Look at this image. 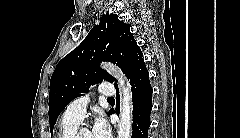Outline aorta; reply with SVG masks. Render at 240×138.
Returning a JSON list of instances; mask_svg holds the SVG:
<instances>
[{
  "label": "aorta",
  "mask_w": 240,
  "mask_h": 138,
  "mask_svg": "<svg viewBox=\"0 0 240 138\" xmlns=\"http://www.w3.org/2000/svg\"><path fill=\"white\" fill-rule=\"evenodd\" d=\"M106 70L114 76L120 89V120L118 123L117 137L130 138L132 135V91L122 72L112 64L105 65Z\"/></svg>",
  "instance_id": "1"
}]
</instances>
